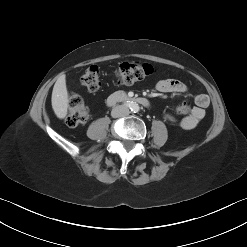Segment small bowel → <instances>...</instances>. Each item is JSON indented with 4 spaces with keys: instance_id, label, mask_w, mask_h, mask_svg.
<instances>
[{
    "instance_id": "c3829d8e",
    "label": "small bowel",
    "mask_w": 247,
    "mask_h": 247,
    "mask_svg": "<svg viewBox=\"0 0 247 247\" xmlns=\"http://www.w3.org/2000/svg\"><path fill=\"white\" fill-rule=\"evenodd\" d=\"M156 90L161 93H184L187 86L182 81L176 79L160 80L156 84ZM195 106L181 120L177 121L171 114H166L165 118L171 123H178L183 129L195 128L205 116V109L209 106L210 100L206 94H198L194 98Z\"/></svg>"
}]
</instances>
